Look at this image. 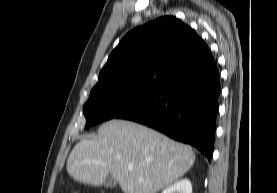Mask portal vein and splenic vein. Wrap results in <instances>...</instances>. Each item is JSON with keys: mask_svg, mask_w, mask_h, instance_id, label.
<instances>
[{"mask_svg": "<svg viewBox=\"0 0 277 193\" xmlns=\"http://www.w3.org/2000/svg\"><path fill=\"white\" fill-rule=\"evenodd\" d=\"M128 169H129V170H132V169H133V166H132V165H129V166H128Z\"/></svg>", "mask_w": 277, "mask_h": 193, "instance_id": "18ae733b", "label": "portal vein and splenic vein"}]
</instances>
